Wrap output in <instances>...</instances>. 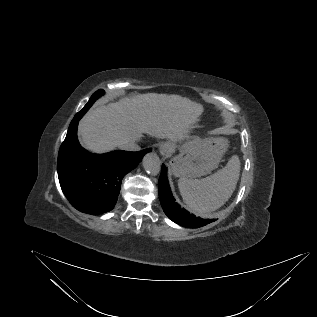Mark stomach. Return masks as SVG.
I'll return each instance as SVG.
<instances>
[{
    "mask_svg": "<svg viewBox=\"0 0 317 317\" xmlns=\"http://www.w3.org/2000/svg\"><path fill=\"white\" fill-rule=\"evenodd\" d=\"M223 138H193L180 146V153L170 161L177 177L197 178L217 168L227 149Z\"/></svg>",
    "mask_w": 317,
    "mask_h": 317,
    "instance_id": "1",
    "label": "stomach"
}]
</instances>
